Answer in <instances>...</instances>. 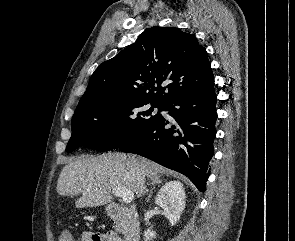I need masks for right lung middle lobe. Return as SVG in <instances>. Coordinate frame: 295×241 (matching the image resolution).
Here are the masks:
<instances>
[{
  "label": "right lung middle lobe",
  "mask_w": 295,
  "mask_h": 241,
  "mask_svg": "<svg viewBox=\"0 0 295 241\" xmlns=\"http://www.w3.org/2000/svg\"><path fill=\"white\" fill-rule=\"evenodd\" d=\"M138 102L123 97L108 96L81 100L72 117V136L66 152L80 145L97 151L118 148L153 122L162 105Z\"/></svg>",
  "instance_id": "right-lung-middle-lobe-1"
}]
</instances>
